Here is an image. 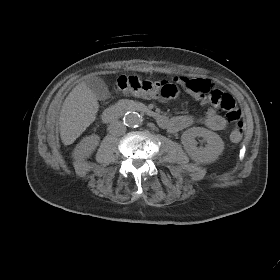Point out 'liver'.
Returning a JSON list of instances; mask_svg holds the SVG:
<instances>
[{
	"instance_id": "6515ba94",
	"label": "liver",
	"mask_w": 280,
	"mask_h": 280,
	"mask_svg": "<svg viewBox=\"0 0 280 280\" xmlns=\"http://www.w3.org/2000/svg\"><path fill=\"white\" fill-rule=\"evenodd\" d=\"M98 110L97 97L86 82H81L73 88L60 112L62 142L65 145L72 144L95 121Z\"/></svg>"
}]
</instances>
